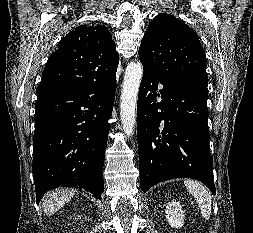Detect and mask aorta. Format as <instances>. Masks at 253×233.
Segmentation results:
<instances>
[{
  "label": "aorta",
  "instance_id": "aorta-1",
  "mask_svg": "<svg viewBox=\"0 0 253 233\" xmlns=\"http://www.w3.org/2000/svg\"><path fill=\"white\" fill-rule=\"evenodd\" d=\"M143 75L140 62H130L125 70L121 91L120 116L124 133L129 137L134 133L136 124V104Z\"/></svg>",
  "mask_w": 253,
  "mask_h": 233
}]
</instances>
